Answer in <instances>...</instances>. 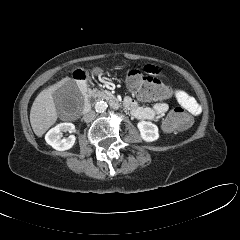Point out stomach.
<instances>
[{"label":"stomach","mask_w":240,"mask_h":240,"mask_svg":"<svg viewBox=\"0 0 240 240\" xmlns=\"http://www.w3.org/2000/svg\"><path fill=\"white\" fill-rule=\"evenodd\" d=\"M102 71H103V70H102L101 68H94V69L92 70V73H93V74H100Z\"/></svg>","instance_id":"1"}]
</instances>
